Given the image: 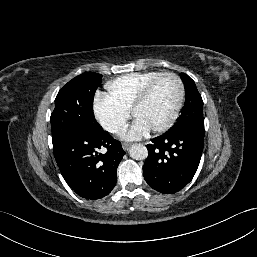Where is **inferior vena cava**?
Segmentation results:
<instances>
[{
  "label": "inferior vena cava",
  "mask_w": 257,
  "mask_h": 257,
  "mask_svg": "<svg viewBox=\"0 0 257 257\" xmlns=\"http://www.w3.org/2000/svg\"><path fill=\"white\" fill-rule=\"evenodd\" d=\"M112 132H117V127L113 128Z\"/></svg>",
  "instance_id": "602c4592"
}]
</instances>
